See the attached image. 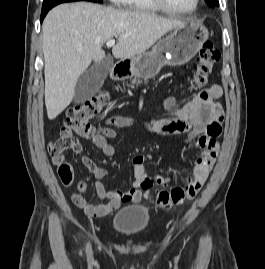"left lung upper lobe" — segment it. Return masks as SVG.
I'll return each mask as SVG.
<instances>
[{
    "label": "left lung upper lobe",
    "mask_w": 265,
    "mask_h": 269,
    "mask_svg": "<svg viewBox=\"0 0 265 269\" xmlns=\"http://www.w3.org/2000/svg\"><path fill=\"white\" fill-rule=\"evenodd\" d=\"M210 7L219 6L218 0H205Z\"/></svg>",
    "instance_id": "left-lung-upper-lobe-1"
}]
</instances>
